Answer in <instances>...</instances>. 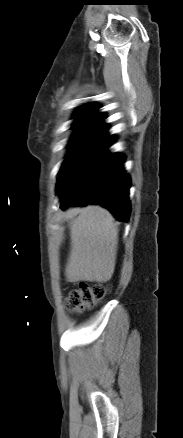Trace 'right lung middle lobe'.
<instances>
[{
  "mask_svg": "<svg viewBox=\"0 0 183 438\" xmlns=\"http://www.w3.org/2000/svg\"><path fill=\"white\" fill-rule=\"evenodd\" d=\"M98 131L90 129L77 130L69 143L72 149L69 151L67 158L60 170V173L68 166L71 160L79 153V151L90 142Z\"/></svg>",
  "mask_w": 183,
  "mask_h": 438,
  "instance_id": "obj_1",
  "label": "right lung middle lobe"
}]
</instances>
